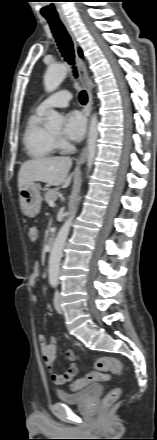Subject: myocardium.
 Here are the masks:
<instances>
[{
    "mask_svg": "<svg viewBox=\"0 0 157 440\" xmlns=\"http://www.w3.org/2000/svg\"><path fill=\"white\" fill-rule=\"evenodd\" d=\"M52 136H53V138H54V139H56V138H57V135H54V134H52Z\"/></svg>",
    "mask_w": 157,
    "mask_h": 440,
    "instance_id": "myocardium-1",
    "label": "myocardium"
}]
</instances>
